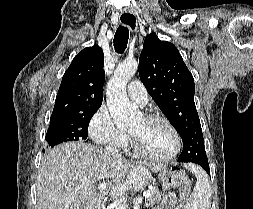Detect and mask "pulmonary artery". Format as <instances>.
Here are the masks:
<instances>
[{
	"instance_id": "pulmonary-artery-1",
	"label": "pulmonary artery",
	"mask_w": 253,
	"mask_h": 209,
	"mask_svg": "<svg viewBox=\"0 0 253 209\" xmlns=\"http://www.w3.org/2000/svg\"><path fill=\"white\" fill-rule=\"evenodd\" d=\"M127 94L131 100L137 102L140 105L146 104L148 99L146 88L138 80H134L128 85Z\"/></svg>"
}]
</instances>
